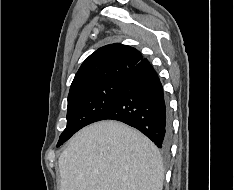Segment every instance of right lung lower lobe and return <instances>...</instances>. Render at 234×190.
I'll list each match as a JSON object with an SVG mask.
<instances>
[{
  "label": "right lung lower lobe",
  "instance_id": "obj_1",
  "mask_svg": "<svg viewBox=\"0 0 234 190\" xmlns=\"http://www.w3.org/2000/svg\"><path fill=\"white\" fill-rule=\"evenodd\" d=\"M107 119L124 122L145 134L161 150L169 149V108L160 79L147 59L124 77L115 102L98 121Z\"/></svg>",
  "mask_w": 234,
  "mask_h": 190
}]
</instances>
